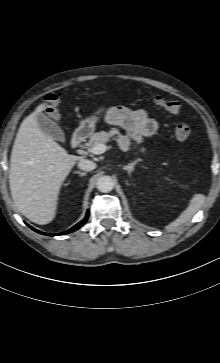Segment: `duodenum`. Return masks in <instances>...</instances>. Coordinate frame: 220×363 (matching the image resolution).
<instances>
[{
  "instance_id": "1",
  "label": "duodenum",
  "mask_w": 220,
  "mask_h": 363,
  "mask_svg": "<svg viewBox=\"0 0 220 363\" xmlns=\"http://www.w3.org/2000/svg\"><path fill=\"white\" fill-rule=\"evenodd\" d=\"M89 134H90V127L83 126V127L78 128L72 137L71 146L73 148L80 146L85 141V139L89 136Z\"/></svg>"
}]
</instances>
